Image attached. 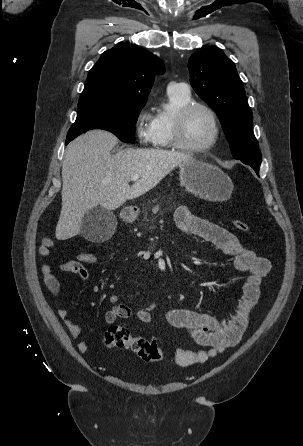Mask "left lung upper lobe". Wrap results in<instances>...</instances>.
<instances>
[{
    "instance_id": "1",
    "label": "left lung upper lobe",
    "mask_w": 303,
    "mask_h": 446,
    "mask_svg": "<svg viewBox=\"0 0 303 446\" xmlns=\"http://www.w3.org/2000/svg\"><path fill=\"white\" fill-rule=\"evenodd\" d=\"M188 68L193 89L216 112L233 157L259 171L253 115L234 63L219 49L206 47L192 54Z\"/></svg>"
}]
</instances>
